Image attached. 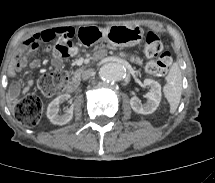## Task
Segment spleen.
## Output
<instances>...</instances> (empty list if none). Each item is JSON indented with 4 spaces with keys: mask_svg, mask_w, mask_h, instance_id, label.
Returning a JSON list of instances; mask_svg holds the SVG:
<instances>
[{
    "mask_svg": "<svg viewBox=\"0 0 215 183\" xmlns=\"http://www.w3.org/2000/svg\"><path fill=\"white\" fill-rule=\"evenodd\" d=\"M163 87L164 96L170 104V112L174 113L180 103L182 94V74L179 66L174 64L166 77Z\"/></svg>",
    "mask_w": 215,
    "mask_h": 183,
    "instance_id": "obj_1",
    "label": "spleen"
}]
</instances>
